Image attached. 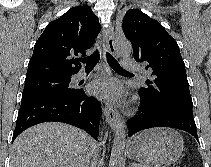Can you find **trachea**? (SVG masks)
Segmentation results:
<instances>
[{"instance_id":"obj_1","label":"trachea","mask_w":211,"mask_h":167,"mask_svg":"<svg viewBox=\"0 0 211 167\" xmlns=\"http://www.w3.org/2000/svg\"><path fill=\"white\" fill-rule=\"evenodd\" d=\"M108 64L114 69L118 71H125L117 62V60L110 54L106 53ZM100 54L99 51L96 50L91 56L81 59L82 63L86 64V69H92L99 62Z\"/></svg>"}]
</instances>
